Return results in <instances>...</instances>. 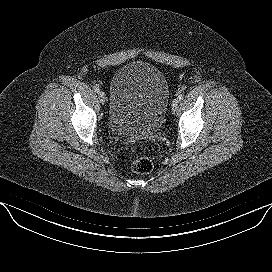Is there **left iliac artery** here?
<instances>
[{"instance_id": "44dca946", "label": "left iliac artery", "mask_w": 272, "mask_h": 272, "mask_svg": "<svg viewBox=\"0 0 272 272\" xmlns=\"http://www.w3.org/2000/svg\"><path fill=\"white\" fill-rule=\"evenodd\" d=\"M183 97H184V95L181 93V94H179L178 95V99H179V101H181L182 99H183Z\"/></svg>"}]
</instances>
